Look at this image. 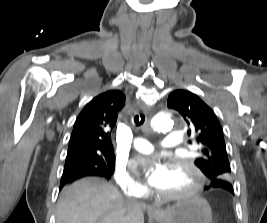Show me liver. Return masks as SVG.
I'll use <instances>...</instances> for the list:
<instances>
[{
	"mask_svg": "<svg viewBox=\"0 0 267 223\" xmlns=\"http://www.w3.org/2000/svg\"><path fill=\"white\" fill-rule=\"evenodd\" d=\"M151 206L123 198L117 188L99 178H85L63 188L56 223H144Z\"/></svg>",
	"mask_w": 267,
	"mask_h": 223,
	"instance_id": "6515ba94",
	"label": "liver"
}]
</instances>
